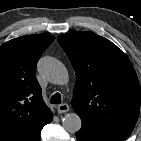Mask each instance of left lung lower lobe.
I'll return each instance as SVG.
<instances>
[{
	"instance_id": "1",
	"label": "left lung lower lobe",
	"mask_w": 141,
	"mask_h": 141,
	"mask_svg": "<svg viewBox=\"0 0 141 141\" xmlns=\"http://www.w3.org/2000/svg\"><path fill=\"white\" fill-rule=\"evenodd\" d=\"M76 137L78 141H123V139L111 138L102 135L86 126H82V128L76 132Z\"/></svg>"
}]
</instances>
